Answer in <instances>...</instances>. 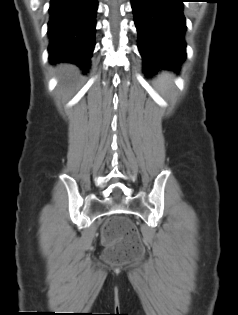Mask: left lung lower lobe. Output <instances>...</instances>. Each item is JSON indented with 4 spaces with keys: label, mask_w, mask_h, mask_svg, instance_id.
<instances>
[{
    "label": "left lung lower lobe",
    "mask_w": 238,
    "mask_h": 315,
    "mask_svg": "<svg viewBox=\"0 0 238 315\" xmlns=\"http://www.w3.org/2000/svg\"><path fill=\"white\" fill-rule=\"evenodd\" d=\"M185 0H131L143 71H178L186 58Z\"/></svg>",
    "instance_id": "left-lung-lower-lobe-1"
}]
</instances>
